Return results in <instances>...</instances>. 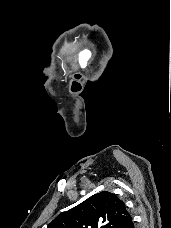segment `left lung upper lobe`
Here are the masks:
<instances>
[{
	"mask_svg": "<svg viewBox=\"0 0 171 228\" xmlns=\"http://www.w3.org/2000/svg\"><path fill=\"white\" fill-rule=\"evenodd\" d=\"M129 218L124 202L103 191L61 214L47 228H122Z\"/></svg>",
	"mask_w": 171,
	"mask_h": 228,
	"instance_id": "1",
	"label": "left lung upper lobe"
}]
</instances>
